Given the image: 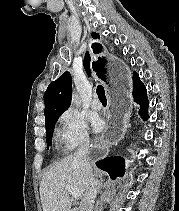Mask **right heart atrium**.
Instances as JSON below:
<instances>
[{
  "label": "right heart atrium",
  "mask_w": 179,
  "mask_h": 211,
  "mask_svg": "<svg viewBox=\"0 0 179 211\" xmlns=\"http://www.w3.org/2000/svg\"><path fill=\"white\" fill-rule=\"evenodd\" d=\"M56 135L59 143L66 151L90 141L89 128L85 118L73 109L61 114L58 120Z\"/></svg>",
  "instance_id": "right-heart-atrium-1"
}]
</instances>
